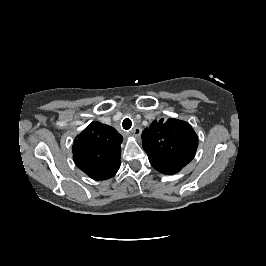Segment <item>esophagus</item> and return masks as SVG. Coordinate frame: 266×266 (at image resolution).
<instances>
[{
  "label": "esophagus",
  "instance_id": "34e87169",
  "mask_svg": "<svg viewBox=\"0 0 266 266\" xmlns=\"http://www.w3.org/2000/svg\"><path fill=\"white\" fill-rule=\"evenodd\" d=\"M131 133L134 137L139 138L141 136L142 129L140 127H135Z\"/></svg>",
  "mask_w": 266,
  "mask_h": 266
}]
</instances>
